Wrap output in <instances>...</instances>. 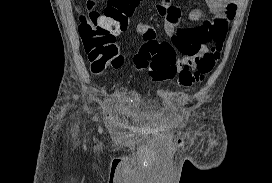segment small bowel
I'll return each instance as SVG.
<instances>
[{
    "instance_id": "small-bowel-1",
    "label": "small bowel",
    "mask_w": 272,
    "mask_h": 183,
    "mask_svg": "<svg viewBox=\"0 0 272 183\" xmlns=\"http://www.w3.org/2000/svg\"><path fill=\"white\" fill-rule=\"evenodd\" d=\"M213 19L205 17L201 9H192L187 14L189 27H181L182 12L171 0H161L155 6L164 18V33L172 39V44L183 57L177 60L178 68L192 66L195 61L208 51L210 44L223 41L229 24L237 11V0H205ZM137 32L144 42L155 41L157 34L153 26L139 23ZM112 116L113 114L110 113Z\"/></svg>"
}]
</instances>
